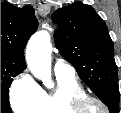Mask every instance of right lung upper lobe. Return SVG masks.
I'll use <instances>...</instances> for the list:
<instances>
[{
	"label": "right lung upper lobe",
	"mask_w": 121,
	"mask_h": 113,
	"mask_svg": "<svg viewBox=\"0 0 121 113\" xmlns=\"http://www.w3.org/2000/svg\"><path fill=\"white\" fill-rule=\"evenodd\" d=\"M38 21L30 5L17 8L1 3V57L25 66L24 48L37 30Z\"/></svg>",
	"instance_id": "1"
}]
</instances>
